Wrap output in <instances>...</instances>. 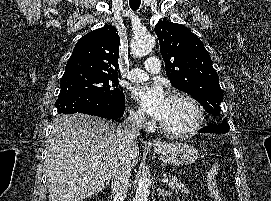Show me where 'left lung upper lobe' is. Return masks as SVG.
Segmentation results:
<instances>
[{"label": "left lung upper lobe", "mask_w": 271, "mask_h": 201, "mask_svg": "<svg viewBox=\"0 0 271 201\" xmlns=\"http://www.w3.org/2000/svg\"><path fill=\"white\" fill-rule=\"evenodd\" d=\"M155 33L171 84L192 95L208 113L219 115L223 92L202 41L184 25L166 20L155 25ZM218 125L225 133L230 129L225 119Z\"/></svg>", "instance_id": "5c2ea615"}]
</instances>
